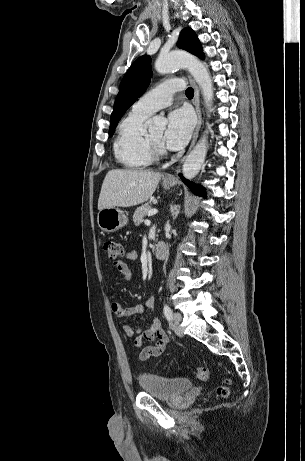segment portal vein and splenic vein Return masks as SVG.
<instances>
[{"instance_id":"portal-vein-and-splenic-vein-1","label":"portal vein and splenic vein","mask_w":305,"mask_h":461,"mask_svg":"<svg viewBox=\"0 0 305 461\" xmlns=\"http://www.w3.org/2000/svg\"><path fill=\"white\" fill-rule=\"evenodd\" d=\"M157 212H158V211H157L156 209H151V210H149V212H148V216H153V215L157 214ZM145 222H146V221H145Z\"/></svg>"}]
</instances>
